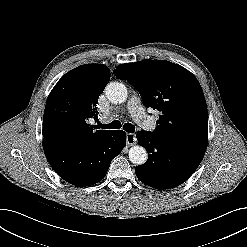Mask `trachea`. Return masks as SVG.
I'll return each mask as SVG.
<instances>
[{
  "label": "trachea",
  "instance_id": "obj_1",
  "mask_svg": "<svg viewBox=\"0 0 247 247\" xmlns=\"http://www.w3.org/2000/svg\"><path fill=\"white\" fill-rule=\"evenodd\" d=\"M122 127V125H121V122L120 121H118V120H114V121H112L111 123H109V124H102V123H99L98 125H97V128L99 129V128H101V129H119V128H121ZM123 129L126 131V132H128V133H133L134 131H135V126L134 125H132L131 123H125L124 125H123Z\"/></svg>",
  "mask_w": 247,
  "mask_h": 247
}]
</instances>
